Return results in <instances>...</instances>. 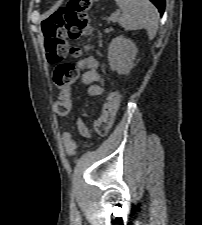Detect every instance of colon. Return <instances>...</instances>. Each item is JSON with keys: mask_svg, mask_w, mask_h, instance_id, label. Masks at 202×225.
<instances>
[{"mask_svg": "<svg viewBox=\"0 0 202 225\" xmlns=\"http://www.w3.org/2000/svg\"><path fill=\"white\" fill-rule=\"evenodd\" d=\"M91 0H69V2L55 11L42 23V31L45 38L46 58L49 64L55 66L53 82L60 90V97L55 103V111L60 116H67L71 111L70 85L74 80L75 71L73 65L65 60L68 53L79 54L81 49L72 48L67 38L78 39L91 32L90 25ZM122 94L116 90H110L106 94V100L102 115L93 121V129L100 137L109 133L120 106ZM63 143L69 155L74 153V144L64 137Z\"/></svg>", "mask_w": 202, "mask_h": 225, "instance_id": "obj_1", "label": "colon"}]
</instances>
